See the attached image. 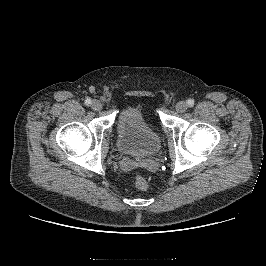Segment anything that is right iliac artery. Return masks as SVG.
<instances>
[{"label":"right iliac artery","mask_w":266,"mask_h":266,"mask_svg":"<svg viewBox=\"0 0 266 266\" xmlns=\"http://www.w3.org/2000/svg\"><path fill=\"white\" fill-rule=\"evenodd\" d=\"M91 102H92V101H91V99H90V98H87V99L85 100V104H86V105H90V104H91Z\"/></svg>","instance_id":"82829eb1"}]
</instances>
